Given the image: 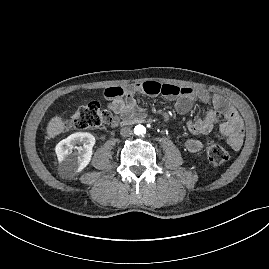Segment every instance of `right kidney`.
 I'll use <instances>...</instances> for the list:
<instances>
[{"mask_svg":"<svg viewBox=\"0 0 269 269\" xmlns=\"http://www.w3.org/2000/svg\"><path fill=\"white\" fill-rule=\"evenodd\" d=\"M77 144L83 146L77 147ZM94 144L95 137L87 132H77L60 141L56 145V154L63 170L82 171L91 160ZM76 148L78 151H73Z\"/></svg>","mask_w":269,"mask_h":269,"instance_id":"right-kidney-1","label":"right kidney"}]
</instances>
